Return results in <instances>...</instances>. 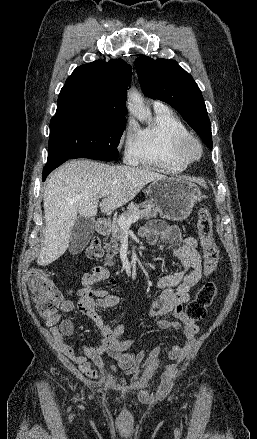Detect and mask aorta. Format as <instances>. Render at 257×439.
<instances>
[{
	"label": "aorta",
	"mask_w": 257,
	"mask_h": 439,
	"mask_svg": "<svg viewBox=\"0 0 257 439\" xmlns=\"http://www.w3.org/2000/svg\"><path fill=\"white\" fill-rule=\"evenodd\" d=\"M128 110L140 121L147 120L151 116L150 110L144 106L141 96L136 91L129 94Z\"/></svg>",
	"instance_id": "1"
}]
</instances>
